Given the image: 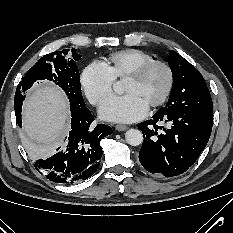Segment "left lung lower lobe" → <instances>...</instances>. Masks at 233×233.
<instances>
[{
	"label": "left lung lower lobe",
	"mask_w": 233,
	"mask_h": 233,
	"mask_svg": "<svg viewBox=\"0 0 233 233\" xmlns=\"http://www.w3.org/2000/svg\"><path fill=\"white\" fill-rule=\"evenodd\" d=\"M161 123L168 127L159 126ZM212 125L211 115L162 107L152 119L137 125L144 137L140 163L148 172L160 176L184 173L206 147Z\"/></svg>",
	"instance_id": "0a47b994"
}]
</instances>
